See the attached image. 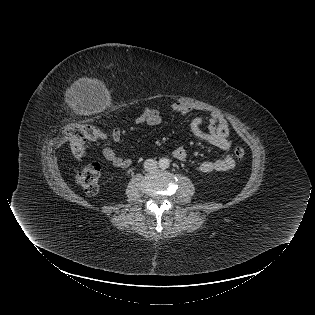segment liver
Wrapping results in <instances>:
<instances>
[{"instance_id":"6515ba94","label":"liver","mask_w":315,"mask_h":315,"mask_svg":"<svg viewBox=\"0 0 315 315\" xmlns=\"http://www.w3.org/2000/svg\"><path fill=\"white\" fill-rule=\"evenodd\" d=\"M88 83H92L94 85H102V83L99 82L98 80L89 79V78H81V79H79L78 81L75 82V84L73 86V89L76 88V87H79L82 84H88ZM106 102H107V100H106Z\"/></svg>"}]
</instances>
